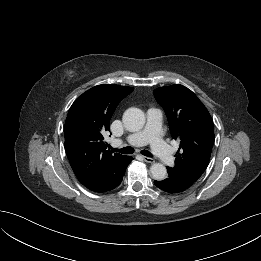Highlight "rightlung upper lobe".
I'll return each mask as SVG.
<instances>
[{
	"mask_svg": "<svg viewBox=\"0 0 261 261\" xmlns=\"http://www.w3.org/2000/svg\"><path fill=\"white\" fill-rule=\"evenodd\" d=\"M134 88L115 84L95 86L79 96L68 112L65 150L78 180L92 190L111 180L129 156L107 150L103 135L120 101Z\"/></svg>",
	"mask_w": 261,
	"mask_h": 261,
	"instance_id": "right-lung-upper-lobe-1",
	"label": "right lung upper lobe"
}]
</instances>
